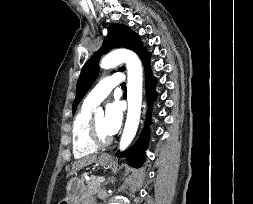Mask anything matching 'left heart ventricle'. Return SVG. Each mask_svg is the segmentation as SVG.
Here are the masks:
<instances>
[{"label": "left heart ventricle", "instance_id": "left-heart-ventricle-1", "mask_svg": "<svg viewBox=\"0 0 253 204\" xmlns=\"http://www.w3.org/2000/svg\"><path fill=\"white\" fill-rule=\"evenodd\" d=\"M94 119L99 133L104 137L110 136L105 130V117L103 115H99Z\"/></svg>", "mask_w": 253, "mask_h": 204}]
</instances>
